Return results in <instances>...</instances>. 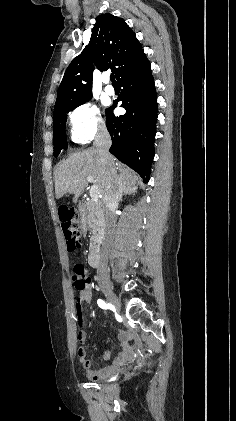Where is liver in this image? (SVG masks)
Returning <instances> with one entry per match:
<instances>
[{
    "instance_id": "6515ba94",
    "label": "liver",
    "mask_w": 236,
    "mask_h": 421,
    "mask_svg": "<svg viewBox=\"0 0 236 421\" xmlns=\"http://www.w3.org/2000/svg\"><path fill=\"white\" fill-rule=\"evenodd\" d=\"M109 164L113 168H118L120 172L116 178V184H119L120 188L130 190L135 186L139 176L132 172L131 168L114 160L113 156L110 158ZM109 174V166L101 162L97 148L73 152L66 160L59 162L54 170L56 198H61L63 194L70 192V194H74L73 202H77L80 194L88 186L87 176H93L100 196L103 198L105 188L110 180Z\"/></svg>"
}]
</instances>
